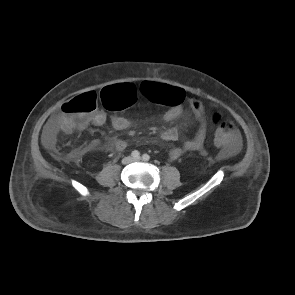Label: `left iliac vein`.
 Masks as SVG:
<instances>
[{"label": "left iliac vein", "instance_id": "obj_1", "mask_svg": "<svg viewBox=\"0 0 295 295\" xmlns=\"http://www.w3.org/2000/svg\"><path fill=\"white\" fill-rule=\"evenodd\" d=\"M141 159L140 158H137V159H135L134 161H140Z\"/></svg>", "mask_w": 295, "mask_h": 295}]
</instances>
